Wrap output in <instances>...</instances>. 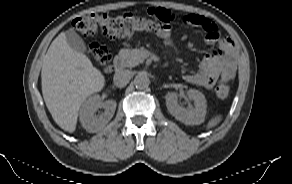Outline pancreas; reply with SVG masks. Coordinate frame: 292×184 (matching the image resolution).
<instances>
[{"mask_svg":"<svg viewBox=\"0 0 292 184\" xmlns=\"http://www.w3.org/2000/svg\"><path fill=\"white\" fill-rule=\"evenodd\" d=\"M124 67L132 68L144 61L140 49H121L118 54Z\"/></svg>","mask_w":292,"mask_h":184,"instance_id":"pancreas-1","label":"pancreas"}]
</instances>
